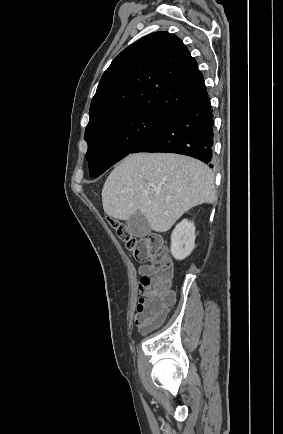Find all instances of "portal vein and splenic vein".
<instances>
[{
  "label": "portal vein and splenic vein",
  "instance_id": "obj_1",
  "mask_svg": "<svg viewBox=\"0 0 283 434\" xmlns=\"http://www.w3.org/2000/svg\"><path fill=\"white\" fill-rule=\"evenodd\" d=\"M160 191L159 190H155V195H159Z\"/></svg>",
  "mask_w": 283,
  "mask_h": 434
}]
</instances>
